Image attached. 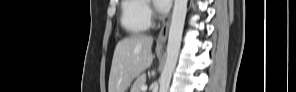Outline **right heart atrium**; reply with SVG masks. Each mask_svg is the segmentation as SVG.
<instances>
[{
  "label": "right heart atrium",
  "instance_id": "1",
  "mask_svg": "<svg viewBox=\"0 0 296 92\" xmlns=\"http://www.w3.org/2000/svg\"><path fill=\"white\" fill-rule=\"evenodd\" d=\"M145 13H146L147 18L150 20L151 17H152L153 12H152L151 7L149 5H147V4H146V7H145Z\"/></svg>",
  "mask_w": 296,
  "mask_h": 92
}]
</instances>
